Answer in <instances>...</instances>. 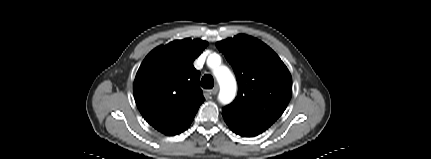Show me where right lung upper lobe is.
I'll list each match as a JSON object with an SVG mask.
<instances>
[{"label":"right lung upper lobe","instance_id":"obj_1","mask_svg":"<svg viewBox=\"0 0 431 159\" xmlns=\"http://www.w3.org/2000/svg\"><path fill=\"white\" fill-rule=\"evenodd\" d=\"M207 45L206 41L186 38L158 46L136 74L133 91L137 107L145 120L165 135L186 130L205 100L193 61Z\"/></svg>","mask_w":431,"mask_h":159}]
</instances>
